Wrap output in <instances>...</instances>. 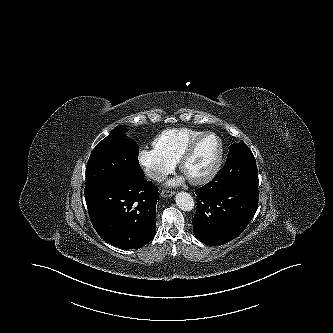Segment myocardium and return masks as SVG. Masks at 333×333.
Instances as JSON below:
<instances>
[{
	"mask_svg": "<svg viewBox=\"0 0 333 333\" xmlns=\"http://www.w3.org/2000/svg\"><path fill=\"white\" fill-rule=\"evenodd\" d=\"M208 137H214L218 141V153H217V156H216L214 162L212 163V165L209 167V169L207 171H205L200 176H197L194 178H188L189 181L193 184H204V183L208 182L209 180H211L215 176V174L218 172V170L221 166L222 160H223L224 146H223V142H222L221 138L213 132H205V133L201 134L200 136H198L197 138H195L194 140H192L188 144V146L185 148L183 153L181 154L180 159L178 161L181 172L184 173V167H185L186 163L191 158V156L194 154V152L196 151V149L200 145V143Z\"/></svg>",
	"mask_w": 333,
	"mask_h": 333,
	"instance_id": "obj_1",
	"label": "myocardium"
}]
</instances>
